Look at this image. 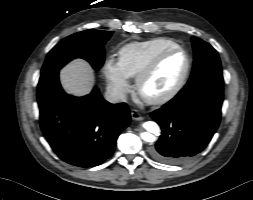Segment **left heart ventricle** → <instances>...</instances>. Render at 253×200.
<instances>
[{
	"label": "left heart ventricle",
	"instance_id": "obj_1",
	"mask_svg": "<svg viewBox=\"0 0 253 200\" xmlns=\"http://www.w3.org/2000/svg\"><path fill=\"white\" fill-rule=\"evenodd\" d=\"M186 66L185 55L174 52L166 56L143 85L146 96L156 97L169 91L179 80Z\"/></svg>",
	"mask_w": 253,
	"mask_h": 200
}]
</instances>
